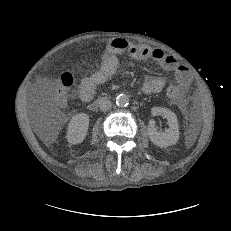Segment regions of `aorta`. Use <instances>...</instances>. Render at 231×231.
<instances>
[{
  "label": "aorta",
  "instance_id": "762f6f07",
  "mask_svg": "<svg viewBox=\"0 0 231 231\" xmlns=\"http://www.w3.org/2000/svg\"><path fill=\"white\" fill-rule=\"evenodd\" d=\"M116 104L119 107H126L129 104V98L125 94H120L116 98Z\"/></svg>",
  "mask_w": 231,
  "mask_h": 231
}]
</instances>
